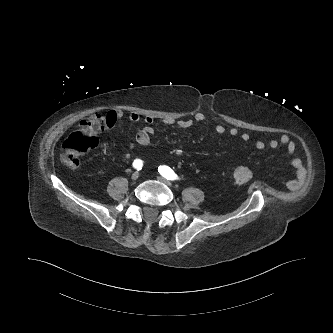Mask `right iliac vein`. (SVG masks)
<instances>
[{"label": "right iliac vein", "instance_id": "right-iliac-vein-1", "mask_svg": "<svg viewBox=\"0 0 333 333\" xmlns=\"http://www.w3.org/2000/svg\"><path fill=\"white\" fill-rule=\"evenodd\" d=\"M139 178V173L136 171L131 175V179L133 181H136Z\"/></svg>", "mask_w": 333, "mask_h": 333}]
</instances>
